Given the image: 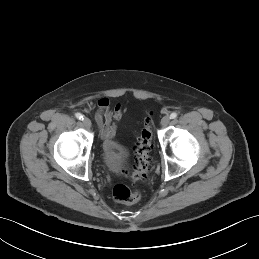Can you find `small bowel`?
I'll list each match as a JSON object with an SVG mask.
<instances>
[{
  "mask_svg": "<svg viewBox=\"0 0 259 259\" xmlns=\"http://www.w3.org/2000/svg\"><path fill=\"white\" fill-rule=\"evenodd\" d=\"M122 117L121 105L114 108L106 97H101L96 103L95 121L100 135L105 141L113 140L117 129V124Z\"/></svg>",
  "mask_w": 259,
  "mask_h": 259,
  "instance_id": "1",
  "label": "small bowel"
}]
</instances>
